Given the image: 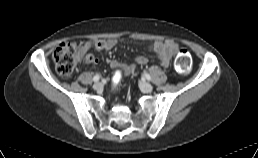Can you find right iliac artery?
Masks as SVG:
<instances>
[{"label": "right iliac artery", "mask_w": 258, "mask_h": 158, "mask_svg": "<svg viewBox=\"0 0 258 158\" xmlns=\"http://www.w3.org/2000/svg\"><path fill=\"white\" fill-rule=\"evenodd\" d=\"M99 79H100V75H99V74H96V75L93 77V81H94V82L99 81Z\"/></svg>", "instance_id": "right-iliac-artery-1"}]
</instances>
